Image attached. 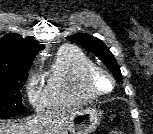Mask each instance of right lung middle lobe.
<instances>
[{
  "label": "right lung middle lobe",
  "mask_w": 153,
  "mask_h": 134,
  "mask_svg": "<svg viewBox=\"0 0 153 134\" xmlns=\"http://www.w3.org/2000/svg\"><path fill=\"white\" fill-rule=\"evenodd\" d=\"M28 72L0 73V116H10L26 110L21 90Z\"/></svg>",
  "instance_id": "obj_1"
}]
</instances>
